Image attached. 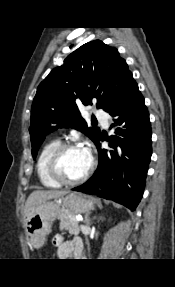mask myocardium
Listing matches in <instances>:
<instances>
[{
	"label": "myocardium",
	"mask_w": 175,
	"mask_h": 287,
	"mask_svg": "<svg viewBox=\"0 0 175 287\" xmlns=\"http://www.w3.org/2000/svg\"><path fill=\"white\" fill-rule=\"evenodd\" d=\"M73 148H81L77 143L74 142H64L60 143L56 149L52 152L49 161H48V173L51 178H53L55 181H57L60 184L63 185H77L85 180L88 179V177L92 174L94 168H95V160L94 157L90 156V165L86 172L81 175L77 179H68L66 178L60 170V159L65 151Z\"/></svg>",
	"instance_id": "myocardium-1"
}]
</instances>
